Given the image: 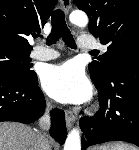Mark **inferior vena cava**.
I'll return each mask as SVG.
<instances>
[{"label": "inferior vena cava", "instance_id": "obj_1", "mask_svg": "<svg viewBox=\"0 0 139 150\" xmlns=\"http://www.w3.org/2000/svg\"><path fill=\"white\" fill-rule=\"evenodd\" d=\"M50 128L49 109L39 120V130H37L40 150H50L47 138V131Z\"/></svg>", "mask_w": 139, "mask_h": 150}]
</instances>
